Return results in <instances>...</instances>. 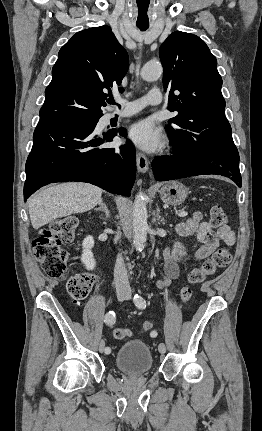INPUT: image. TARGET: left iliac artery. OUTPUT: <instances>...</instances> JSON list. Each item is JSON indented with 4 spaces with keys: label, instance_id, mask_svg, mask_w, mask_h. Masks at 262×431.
<instances>
[{
    "label": "left iliac artery",
    "instance_id": "1",
    "mask_svg": "<svg viewBox=\"0 0 262 431\" xmlns=\"http://www.w3.org/2000/svg\"><path fill=\"white\" fill-rule=\"evenodd\" d=\"M134 303L139 309H143L146 307V301L144 298L138 294L134 296ZM157 335V332L155 333Z\"/></svg>",
    "mask_w": 262,
    "mask_h": 431
}]
</instances>
